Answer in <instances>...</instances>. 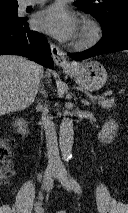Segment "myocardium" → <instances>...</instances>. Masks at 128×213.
<instances>
[{
    "mask_svg": "<svg viewBox=\"0 0 128 213\" xmlns=\"http://www.w3.org/2000/svg\"><path fill=\"white\" fill-rule=\"evenodd\" d=\"M101 27L97 21L91 18H84L80 25V35L74 42V48L85 50L94 46L101 38Z\"/></svg>",
    "mask_w": 128,
    "mask_h": 213,
    "instance_id": "f54148a6",
    "label": "myocardium"
}]
</instances>
